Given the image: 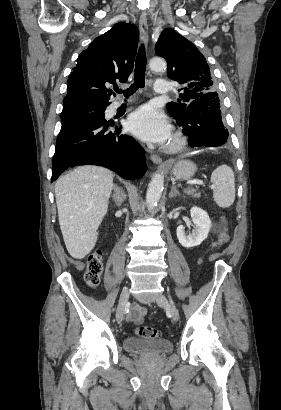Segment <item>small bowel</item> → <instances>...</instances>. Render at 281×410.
<instances>
[{"mask_svg": "<svg viewBox=\"0 0 281 410\" xmlns=\"http://www.w3.org/2000/svg\"><path fill=\"white\" fill-rule=\"evenodd\" d=\"M146 315L147 311L144 307L134 304L127 315V319L133 323H141Z\"/></svg>", "mask_w": 281, "mask_h": 410, "instance_id": "obj_1", "label": "small bowel"}]
</instances>
